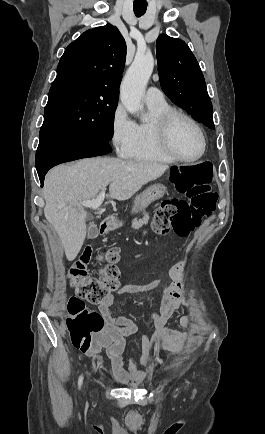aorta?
I'll use <instances>...</instances> for the list:
<instances>
[{
  "mask_svg": "<svg viewBox=\"0 0 265 434\" xmlns=\"http://www.w3.org/2000/svg\"><path fill=\"white\" fill-rule=\"evenodd\" d=\"M154 70V58L148 56H135L130 68H128L121 84V102L130 114H136L141 110L140 104Z\"/></svg>",
  "mask_w": 265,
  "mask_h": 434,
  "instance_id": "762f6f07",
  "label": "aorta"
}]
</instances>
